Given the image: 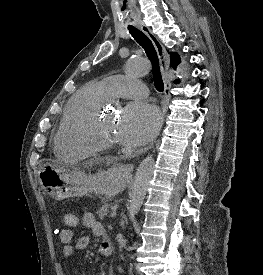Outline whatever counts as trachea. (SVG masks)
Segmentation results:
<instances>
[{"mask_svg":"<svg viewBox=\"0 0 263 275\" xmlns=\"http://www.w3.org/2000/svg\"><path fill=\"white\" fill-rule=\"evenodd\" d=\"M128 30L136 42L145 50L149 60L152 63L155 88L157 91L162 92L164 90V83L160 72L158 55L152 41L146 34L135 27H128Z\"/></svg>","mask_w":263,"mask_h":275,"instance_id":"obj_1","label":"trachea"}]
</instances>
